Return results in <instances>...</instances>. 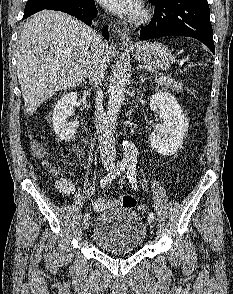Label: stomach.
Returning <instances> with one entry per match:
<instances>
[{
  "mask_svg": "<svg viewBox=\"0 0 233 294\" xmlns=\"http://www.w3.org/2000/svg\"><path fill=\"white\" fill-rule=\"evenodd\" d=\"M134 57L157 70H167L174 62V55L163 44L145 42L133 51Z\"/></svg>",
  "mask_w": 233,
  "mask_h": 294,
  "instance_id": "1",
  "label": "stomach"
}]
</instances>
